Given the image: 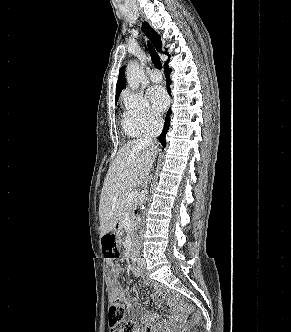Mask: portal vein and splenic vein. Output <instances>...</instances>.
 Returning <instances> with one entry per match:
<instances>
[{"mask_svg": "<svg viewBox=\"0 0 291 332\" xmlns=\"http://www.w3.org/2000/svg\"><path fill=\"white\" fill-rule=\"evenodd\" d=\"M137 196H138V192L137 191H131V192H129L127 194V196H126V202L128 204L133 203L136 200Z\"/></svg>", "mask_w": 291, "mask_h": 332, "instance_id": "1", "label": "portal vein and splenic vein"}]
</instances>
